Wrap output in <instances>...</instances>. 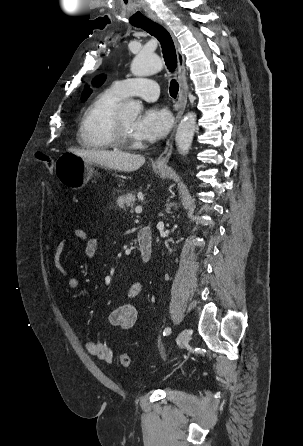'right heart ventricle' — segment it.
<instances>
[{
    "mask_svg": "<svg viewBox=\"0 0 303 446\" xmlns=\"http://www.w3.org/2000/svg\"><path fill=\"white\" fill-rule=\"evenodd\" d=\"M124 99L113 86L100 92L87 106L79 122L77 141L92 150L116 147L114 141L115 119Z\"/></svg>",
    "mask_w": 303,
    "mask_h": 446,
    "instance_id": "1",
    "label": "right heart ventricle"
}]
</instances>
